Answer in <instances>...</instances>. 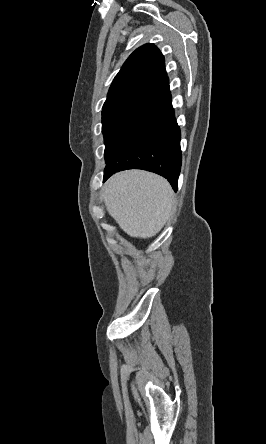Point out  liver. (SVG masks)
I'll use <instances>...</instances> for the list:
<instances>
[{"label":"liver","mask_w":266,"mask_h":444,"mask_svg":"<svg viewBox=\"0 0 266 444\" xmlns=\"http://www.w3.org/2000/svg\"><path fill=\"white\" fill-rule=\"evenodd\" d=\"M108 213L131 237L155 236L174 209L168 181L156 174L128 170L113 175L103 187Z\"/></svg>","instance_id":"obj_1"}]
</instances>
